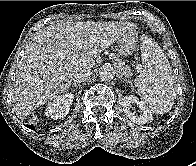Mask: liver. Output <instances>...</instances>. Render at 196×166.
<instances>
[{"instance_id": "liver-1", "label": "liver", "mask_w": 196, "mask_h": 166, "mask_svg": "<svg viewBox=\"0 0 196 166\" xmlns=\"http://www.w3.org/2000/svg\"><path fill=\"white\" fill-rule=\"evenodd\" d=\"M135 28L129 22L87 21L57 22L39 31L15 75L12 94L16 115L23 119L65 92L76 72L91 70L95 58ZM76 54L78 58L73 59Z\"/></svg>"}]
</instances>
